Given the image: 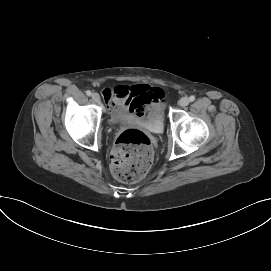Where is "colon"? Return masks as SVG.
Returning a JSON list of instances; mask_svg holds the SVG:
<instances>
[{
  "label": "colon",
  "instance_id": "obj_1",
  "mask_svg": "<svg viewBox=\"0 0 271 271\" xmlns=\"http://www.w3.org/2000/svg\"><path fill=\"white\" fill-rule=\"evenodd\" d=\"M152 162L151 141L144 132L127 129L118 136L110 156V169L116 179L137 182L148 173Z\"/></svg>",
  "mask_w": 271,
  "mask_h": 271
}]
</instances>
